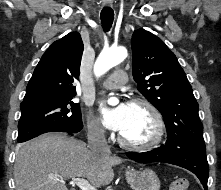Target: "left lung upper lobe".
<instances>
[{"mask_svg": "<svg viewBox=\"0 0 221 190\" xmlns=\"http://www.w3.org/2000/svg\"><path fill=\"white\" fill-rule=\"evenodd\" d=\"M132 73L137 88L163 115L174 148L206 150L192 87L174 53L152 33L132 35Z\"/></svg>", "mask_w": 221, "mask_h": 190, "instance_id": "5c2ea615", "label": "left lung upper lobe"}]
</instances>
